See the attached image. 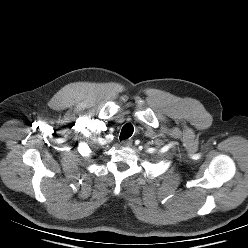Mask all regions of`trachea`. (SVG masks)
<instances>
[{"label":"trachea","instance_id":"1","mask_svg":"<svg viewBox=\"0 0 248 248\" xmlns=\"http://www.w3.org/2000/svg\"><path fill=\"white\" fill-rule=\"evenodd\" d=\"M133 131H134V128L131 124L129 123L125 124L120 133V140L122 141V140H125L131 137L133 134Z\"/></svg>","mask_w":248,"mask_h":248}]
</instances>
